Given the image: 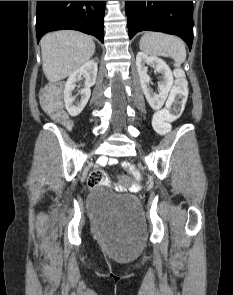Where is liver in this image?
<instances>
[{
  "label": "liver",
  "mask_w": 233,
  "mask_h": 295,
  "mask_svg": "<svg viewBox=\"0 0 233 295\" xmlns=\"http://www.w3.org/2000/svg\"><path fill=\"white\" fill-rule=\"evenodd\" d=\"M41 51L43 72L54 83L86 63L95 52V43L81 32L61 30L43 36Z\"/></svg>",
  "instance_id": "1"
}]
</instances>
